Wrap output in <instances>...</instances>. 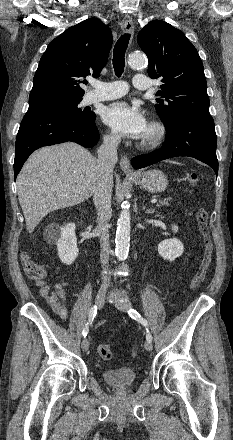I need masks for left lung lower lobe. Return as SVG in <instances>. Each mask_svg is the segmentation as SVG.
Masks as SVG:
<instances>
[{
  "label": "left lung lower lobe",
  "mask_w": 233,
  "mask_h": 440,
  "mask_svg": "<svg viewBox=\"0 0 233 440\" xmlns=\"http://www.w3.org/2000/svg\"><path fill=\"white\" fill-rule=\"evenodd\" d=\"M177 156L194 157L208 164L217 174L216 133L210 113L183 114L173 129L166 130L163 146L149 154L135 157L132 166L139 169Z\"/></svg>",
  "instance_id": "left-lung-lower-lobe-1"
}]
</instances>
